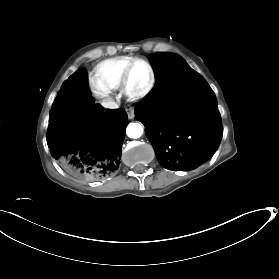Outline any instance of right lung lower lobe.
<instances>
[{"mask_svg": "<svg viewBox=\"0 0 279 279\" xmlns=\"http://www.w3.org/2000/svg\"><path fill=\"white\" fill-rule=\"evenodd\" d=\"M86 77L81 69L63 83L50 111L47 143L68 172L98 179L118 168L128 123L122 108L113 114L100 111Z\"/></svg>", "mask_w": 279, "mask_h": 279, "instance_id": "right-lung-lower-lobe-1", "label": "right lung lower lobe"}]
</instances>
